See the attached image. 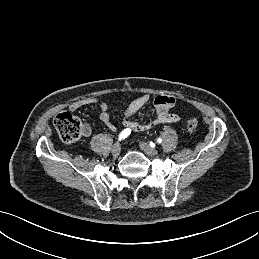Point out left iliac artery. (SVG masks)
<instances>
[{
    "label": "left iliac artery",
    "mask_w": 259,
    "mask_h": 259,
    "mask_svg": "<svg viewBox=\"0 0 259 259\" xmlns=\"http://www.w3.org/2000/svg\"><path fill=\"white\" fill-rule=\"evenodd\" d=\"M157 142H158V143H161V142H162V139H161V138H158V139H157Z\"/></svg>",
    "instance_id": "left-iliac-artery-1"
}]
</instances>
